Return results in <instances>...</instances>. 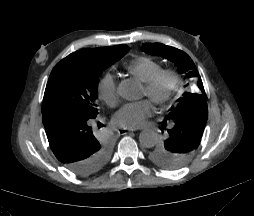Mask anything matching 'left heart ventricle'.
<instances>
[{
	"mask_svg": "<svg viewBox=\"0 0 254 216\" xmlns=\"http://www.w3.org/2000/svg\"><path fill=\"white\" fill-rule=\"evenodd\" d=\"M142 95H143V96H146V97H148V98H150V99H152V97H153V93H146L145 90L142 91Z\"/></svg>",
	"mask_w": 254,
	"mask_h": 216,
	"instance_id": "b2bd125f",
	"label": "left heart ventricle"
}]
</instances>
